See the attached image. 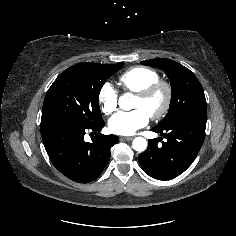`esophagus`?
Segmentation results:
<instances>
[{"label": "esophagus", "instance_id": "34e87169", "mask_svg": "<svg viewBox=\"0 0 236 236\" xmlns=\"http://www.w3.org/2000/svg\"><path fill=\"white\" fill-rule=\"evenodd\" d=\"M132 139H133L132 136H130V137H120V140L131 141Z\"/></svg>", "mask_w": 236, "mask_h": 236}]
</instances>
